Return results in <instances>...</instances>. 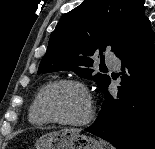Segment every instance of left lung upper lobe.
Masks as SVG:
<instances>
[{"label": "left lung upper lobe", "mask_w": 155, "mask_h": 149, "mask_svg": "<svg viewBox=\"0 0 155 149\" xmlns=\"http://www.w3.org/2000/svg\"><path fill=\"white\" fill-rule=\"evenodd\" d=\"M144 0H85L66 13L52 32L38 74L74 71L93 79L102 89L110 80L106 74H93V56L103 51L115 53L141 28Z\"/></svg>", "instance_id": "left-lung-upper-lobe-1"}]
</instances>
